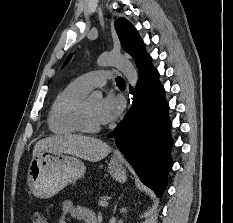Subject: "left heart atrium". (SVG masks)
I'll return each mask as SVG.
<instances>
[{
    "label": "left heart atrium",
    "instance_id": "1",
    "mask_svg": "<svg viewBox=\"0 0 233 223\" xmlns=\"http://www.w3.org/2000/svg\"><path fill=\"white\" fill-rule=\"evenodd\" d=\"M122 111L121 101L113 94L104 97L97 108V119L99 124L107 125L118 119Z\"/></svg>",
    "mask_w": 233,
    "mask_h": 223
}]
</instances>
